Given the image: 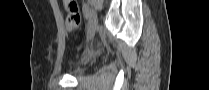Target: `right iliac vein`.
I'll list each match as a JSON object with an SVG mask.
<instances>
[{"label": "right iliac vein", "instance_id": "right-iliac-vein-1", "mask_svg": "<svg viewBox=\"0 0 209 90\" xmlns=\"http://www.w3.org/2000/svg\"><path fill=\"white\" fill-rule=\"evenodd\" d=\"M97 25H98L97 15L96 12L92 10V12L90 13V19L88 24L87 41L91 40L94 37L97 29Z\"/></svg>", "mask_w": 209, "mask_h": 90}]
</instances>
